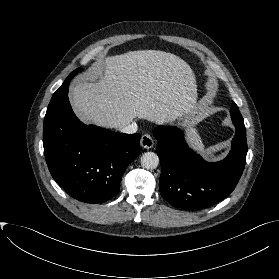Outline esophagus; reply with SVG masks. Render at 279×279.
<instances>
[{"mask_svg": "<svg viewBox=\"0 0 279 279\" xmlns=\"http://www.w3.org/2000/svg\"><path fill=\"white\" fill-rule=\"evenodd\" d=\"M140 144L145 149H150L154 145V141L149 134H144L141 136Z\"/></svg>", "mask_w": 279, "mask_h": 279, "instance_id": "1", "label": "esophagus"}]
</instances>
